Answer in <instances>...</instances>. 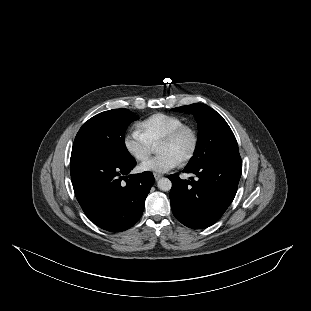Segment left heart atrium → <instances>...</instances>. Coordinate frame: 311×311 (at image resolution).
<instances>
[{
	"label": "left heart atrium",
	"mask_w": 311,
	"mask_h": 311,
	"mask_svg": "<svg viewBox=\"0 0 311 311\" xmlns=\"http://www.w3.org/2000/svg\"><path fill=\"white\" fill-rule=\"evenodd\" d=\"M181 160L170 152L161 153L140 165V170L147 173L165 174L176 168Z\"/></svg>",
	"instance_id": "obj_1"
}]
</instances>
